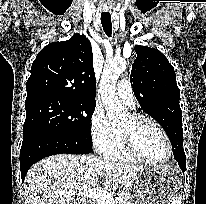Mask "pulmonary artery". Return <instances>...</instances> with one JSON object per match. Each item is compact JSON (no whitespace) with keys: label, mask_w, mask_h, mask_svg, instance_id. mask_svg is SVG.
Wrapping results in <instances>:
<instances>
[{"label":"pulmonary artery","mask_w":206,"mask_h":204,"mask_svg":"<svg viewBox=\"0 0 206 204\" xmlns=\"http://www.w3.org/2000/svg\"><path fill=\"white\" fill-rule=\"evenodd\" d=\"M118 97L130 108L135 107L134 93L128 80L122 79L116 87Z\"/></svg>","instance_id":"e3ab8cb5"}]
</instances>
